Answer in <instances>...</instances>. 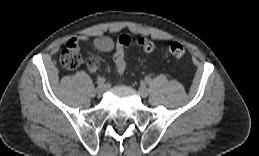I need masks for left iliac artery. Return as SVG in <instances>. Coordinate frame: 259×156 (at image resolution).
Segmentation results:
<instances>
[{"mask_svg":"<svg viewBox=\"0 0 259 156\" xmlns=\"http://www.w3.org/2000/svg\"><path fill=\"white\" fill-rule=\"evenodd\" d=\"M145 81H146L147 84L150 83V81H151L150 77H146Z\"/></svg>","mask_w":259,"mask_h":156,"instance_id":"obj_1","label":"left iliac artery"}]
</instances>
